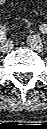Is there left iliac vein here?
Segmentation results:
<instances>
[{
  "instance_id": "4c4485c4",
  "label": "left iliac vein",
  "mask_w": 47,
  "mask_h": 129,
  "mask_svg": "<svg viewBox=\"0 0 47 129\" xmlns=\"http://www.w3.org/2000/svg\"><path fill=\"white\" fill-rule=\"evenodd\" d=\"M27 44L34 50L42 52L43 42L38 35L28 36Z\"/></svg>"
}]
</instances>
